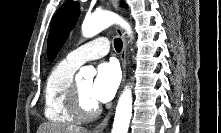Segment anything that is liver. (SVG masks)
Segmentation results:
<instances>
[{
  "label": "liver",
  "instance_id": "6515ba94",
  "mask_svg": "<svg viewBox=\"0 0 221 133\" xmlns=\"http://www.w3.org/2000/svg\"><path fill=\"white\" fill-rule=\"evenodd\" d=\"M37 133H90L87 129L57 123H43Z\"/></svg>",
  "mask_w": 221,
  "mask_h": 133
}]
</instances>
